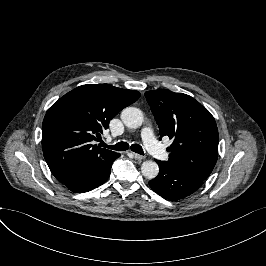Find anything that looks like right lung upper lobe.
Segmentation results:
<instances>
[{
	"label": "right lung upper lobe",
	"mask_w": 266,
	"mask_h": 266,
	"mask_svg": "<svg viewBox=\"0 0 266 266\" xmlns=\"http://www.w3.org/2000/svg\"><path fill=\"white\" fill-rule=\"evenodd\" d=\"M140 93L109 84L82 85L61 97L47 111L42 125V149L53 175L68 181L86 164L108 161L116 152L90 142Z\"/></svg>",
	"instance_id": "1"
}]
</instances>
